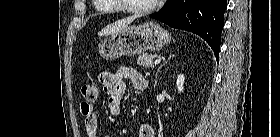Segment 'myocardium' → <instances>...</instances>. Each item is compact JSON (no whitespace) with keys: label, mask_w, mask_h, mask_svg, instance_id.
<instances>
[{"label":"myocardium","mask_w":280,"mask_h":137,"mask_svg":"<svg viewBox=\"0 0 280 137\" xmlns=\"http://www.w3.org/2000/svg\"><path fill=\"white\" fill-rule=\"evenodd\" d=\"M159 5H160V1L157 0L152 5H150L146 8H134V7L124 6V5H122L121 8L124 11H126L128 13H132V14H149V13L153 12L154 10H156ZM159 27H161V26H159Z\"/></svg>","instance_id":"obj_1"}]
</instances>
